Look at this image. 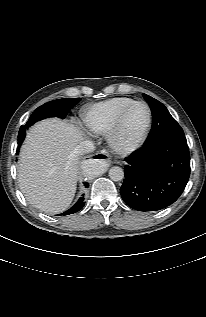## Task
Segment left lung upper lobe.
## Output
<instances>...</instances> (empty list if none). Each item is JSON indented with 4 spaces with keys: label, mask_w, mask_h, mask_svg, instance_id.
I'll return each mask as SVG.
<instances>
[{
    "label": "left lung upper lobe",
    "mask_w": 206,
    "mask_h": 317,
    "mask_svg": "<svg viewBox=\"0 0 206 317\" xmlns=\"http://www.w3.org/2000/svg\"><path fill=\"white\" fill-rule=\"evenodd\" d=\"M143 96L148 102L153 115L152 129L145 145L167 139L186 141L182 128L171 116L167 108L151 96L146 94Z\"/></svg>",
    "instance_id": "5c2ea615"
}]
</instances>
